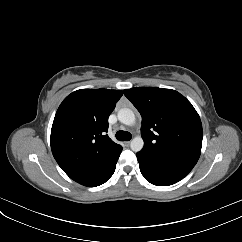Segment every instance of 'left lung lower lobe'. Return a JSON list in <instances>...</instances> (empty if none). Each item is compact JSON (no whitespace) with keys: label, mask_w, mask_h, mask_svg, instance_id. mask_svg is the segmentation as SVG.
Segmentation results:
<instances>
[{"label":"left lung lower lobe","mask_w":242,"mask_h":242,"mask_svg":"<svg viewBox=\"0 0 242 242\" xmlns=\"http://www.w3.org/2000/svg\"><path fill=\"white\" fill-rule=\"evenodd\" d=\"M137 159L144 178L157 186L172 185L192 170V167L155 157L143 150L137 153Z\"/></svg>","instance_id":"1"}]
</instances>
